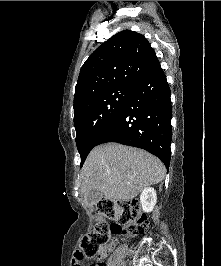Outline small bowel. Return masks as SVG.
Here are the masks:
<instances>
[{
  "label": "small bowel",
  "instance_id": "obj_1",
  "mask_svg": "<svg viewBox=\"0 0 221 266\" xmlns=\"http://www.w3.org/2000/svg\"><path fill=\"white\" fill-rule=\"evenodd\" d=\"M79 250H82V247H79ZM107 253H108V250H104L101 257L105 258L107 256ZM84 256H85L84 252H79V251L72 252V257H73L72 266H82L83 259L80 257H84Z\"/></svg>",
  "mask_w": 221,
  "mask_h": 266
}]
</instances>
